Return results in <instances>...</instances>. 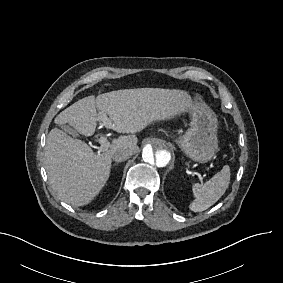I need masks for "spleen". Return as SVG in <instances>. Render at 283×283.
<instances>
[{"instance_id":"spleen-1","label":"spleen","mask_w":283,"mask_h":283,"mask_svg":"<svg viewBox=\"0 0 283 283\" xmlns=\"http://www.w3.org/2000/svg\"><path fill=\"white\" fill-rule=\"evenodd\" d=\"M229 183V166H224L219 173L203 184L194 183L192 185L194 199L190 203L189 208L194 212L208 209L223 196L229 186Z\"/></svg>"}]
</instances>
